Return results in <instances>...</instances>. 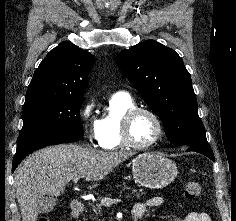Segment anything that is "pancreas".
I'll list each match as a JSON object with an SVG mask.
<instances>
[{"mask_svg":"<svg viewBox=\"0 0 236 221\" xmlns=\"http://www.w3.org/2000/svg\"><path fill=\"white\" fill-rule=\"evenodd\" d=\"M135 196L139 197L137 190H133ZM102 216V207L101 205H95L92 207L90 218L93 221H103L100 217Z\"/></svg>","mask_w":236,"mask_h":221,"instance_id":"obj_1","label":"pancreas"}]
</instances>
